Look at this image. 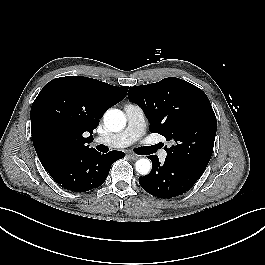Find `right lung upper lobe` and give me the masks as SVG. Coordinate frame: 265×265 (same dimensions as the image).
Returning <instances> with one entry per match:
<instances>
[{"instance_id": "right-lung-upper-lobe-1", "label": "right lung upper lobe", "mask_w": 265, "mask_h": 265, "mask_svg": "<svg viewBox=\"0 0 265 265\" xmlns=\"http://www.w3.org/2000/svg\"><path fill=\"white\" fill-rule=\"evenodd\" d=\"M128 88L81 76L47 83L30 113L33 145L42 165L94 149L89 148L93 129L108 108L125 98Z\"/></svg>"}]
</instances>
